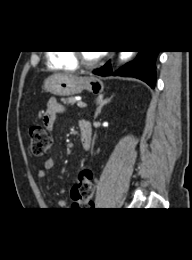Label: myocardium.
Segmentation results:
<instances>
[{
  "label": "myocardium",
  "instance_id": "obj_1",
  "mask_svg": "<svg viewBox=\"0 0 192 260\" xmlns=\"http://www.w3.org/2000/svg\"><path fill=\"white\" fill-rule=\"evenodd\" d=\"M72 54L78 64L88 68L98 65L102 60V56L100 55H98L95 59L89 60L84 56L83 52L78 50L73 51Z\"/></svg>",
  "mask_w": 192,
  "mask_h": 260
}]
</instances>
